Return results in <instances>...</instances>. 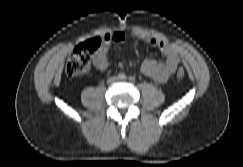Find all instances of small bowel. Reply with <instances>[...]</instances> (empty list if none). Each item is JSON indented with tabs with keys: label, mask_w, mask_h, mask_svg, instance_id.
Returning a JSON list of instances; mask_svg holds the SVG:
<instances>
[{
	"label": "small bowel",
	"mask_w": 243,
	"mask_h": 167,
	"mask_svg": "<svg viewBox=\"0 0 243 167\" xmlns=\"http://www.w3.org/2000/svg\"><path fill=\"white\" fill-rule=\"evenodd\" d=\"M138 36L144 42L157 47L165 57L164 62L146 59L141 65L142 74L159 83L166 82L176 71L180 62L176 49L172 45L154 36L147 34H138ZM129 37L130 34L122 31L106 33L103 36V44L94 57L95 67L101 71L106 70L110 65L108 53L111 46L117 43H126Z\"/></svg>",
	"instance_id": "small-bowel-1"
}]
</instances>
